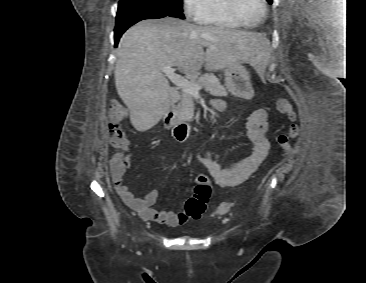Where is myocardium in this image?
<instances>
[{"instance_id":"1","label":"myocardium","mask_w":366,"mask_h":283,"mask_svg":"<svg viewBox=\"0 0 366 283\" xmlns=\"http://www.w3.org/2000/svg\"><path fill=\"white\" fill-rule=\"evenodd\" d=\"M224 1V7L228 13V15L240 26L252 28L258 26L263 19L266 17L267 14V3L266 0H260L262 4V14L261 16L256 20V22L249 24L243 20V18L240 16L238 11V2L239 0H223Z\"/></svg>"}]
</instances>
